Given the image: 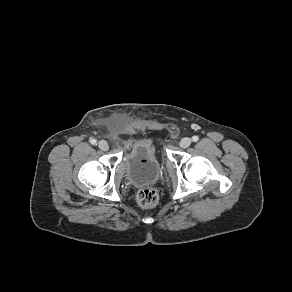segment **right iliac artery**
Wrapping results in <instances>:
<instances>
[{
    "instance_id": "1",
    "label": "right iliac artery",
    "mask_w": 292,
    "mask_h": 292,
    "mask_svg": "<svg viewBox=\"0 0 292 292\" xmlns=\"http://www.w3.org/2000/svg\"><path fill=\"white\" fill-rule=\"evenodd\" d=\"M90 142H91L92 145H96L97 144L96 139H91Z\"/></svg>"
}]
</instances>
